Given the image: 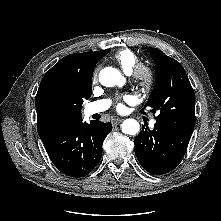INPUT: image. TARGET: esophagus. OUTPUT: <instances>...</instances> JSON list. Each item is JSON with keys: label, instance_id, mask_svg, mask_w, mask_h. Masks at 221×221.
I'll return each mask as SVG.
<instances>
[{"label": "esophagus", "instance_id": "esophagus-1", "mask_svg": "<svg viewBox=\"0 0 221 221\" xmlns=\"http://www.w3.org/2000/svg\"><path fill=\"white\" fill-rule=\"evenodd\" d=\"M123 121V119H121V118H116V119H114L113 121H112V123H113V125H117V124H119L120 122H122Z\"/></svg>", "mask_w": 221, "mask_h": 221}]
</instances>
